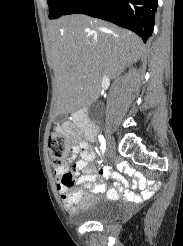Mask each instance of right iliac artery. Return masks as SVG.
I'll use <instances>...</instances> for the list:
<instances>
[{"instance_id": "1", "label": "right iliac artery", "mask_w": 183, "mask_h": 246, "mask_svg": "<svg viewBox=\"0 0 183 246\" xmlns=\"http://www.w3.org/2000/svg\"><path fill=\"white\" fill-rule=\"evenodd\" d=\"M98 138H99V141H100V144H101V146H100L101 152H102V154H104V151L106 149L105 138L102 135H99Z\"/></svg>"}]
</instances>
